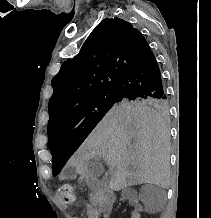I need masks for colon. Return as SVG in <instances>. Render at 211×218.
Masks as SVG:
<instances>
[{
  "mask_svg": "<svg viewBox=\"0 0 211 218\" xmlns=\"http://www.w3.org/2000/svg\"><path fill=\"white\" fill-rule=\"evenodd\" d=\"M57 199L64 204H72L75 200L73 188L69 184L60 186L56 193Z\"/></svg>",
  "mask_w": 211,
  "mask_h": 218,
  "instance_id": "1",
  "label": "colon"
}]
</instances>
